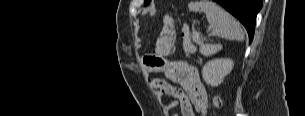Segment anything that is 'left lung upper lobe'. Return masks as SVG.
<instances>
[{"label":"left lung upper lobe","mask_w":305,"mask_h":116,"mask_svg":"<svg viewBox=\"0 0 305 116\" xmlns=\"http://www.w3.org/2000/svg\"><path fill=\"white\" fill-rule=\"evenodd\" d=\"M150 1L149 0H145V5L148 4Z\"/></svg>","instance_id":"obj_1"}]
</instances>
